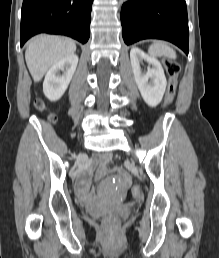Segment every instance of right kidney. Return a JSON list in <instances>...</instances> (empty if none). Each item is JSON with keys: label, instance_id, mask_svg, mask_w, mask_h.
Returning a JSON list of instances; mask_svg holds the SVG:
<instances>
[{"label": "right kidney", "instance_id": "ca27d5eb", "mask_svg": "<svg viewBox=\"0 0 219 258\" xmlns=\"http://www.w3.org/2000/svg\"><path fill=\"white\" fill-rule=\"evenodd\" d=\"M78 64V56L70 55L55 63L47 72L43 92L50 101L60 99L65 93ZM62 71V74L60 72Z\"/></svg>", "mask_w": 219, "mask_h": 258}]
</instances>
